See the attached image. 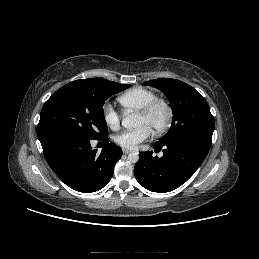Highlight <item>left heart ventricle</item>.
<instances>
[{
  "label": "left heart ventricle",
  "mask_w": 259,
  "mask_h": 259,
  "mask_svg": "<svg viewBox=\"0 0 259 259\" xmlns=\"http://www.w3.org/2000/svg\"><path fill=\"white\" fill-rule=\"evenodd\" d=\"M166 117V112L163 107H158L155 109V111L149 116L144 117L139 114L138 120H137V126H147L152 131L157 129L162 125Z\"/></svg>",
  "instance_id": "b2bd125f"
}]
</instances>
